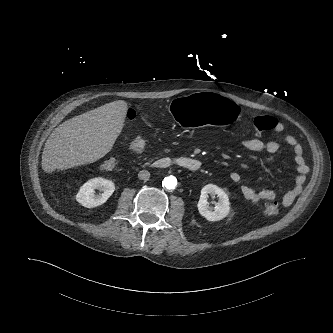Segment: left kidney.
<instances>
[{"instance_id": "obj_1", "label": "left kidney", "mask_w": 333, "mask_h": 333, "mask_svg": "<svg viewBox=\"0 0 333 333\" xmlns=\"http://www.w3.org/2000/svg\"><path fill=\"white\" fill-rule=\"evenodd\" d=\"M208 195H217L218 202L214 211H211L207 202ZM199 213L208 221H219L225 218L230 211V202L226 192L214 184H208L201 190L200 199L197 204Z\"/></svg>"}]
</instances>
